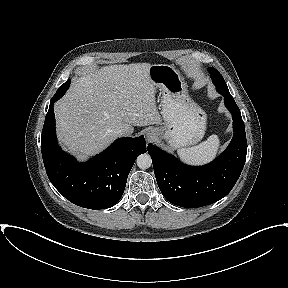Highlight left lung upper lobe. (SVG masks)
Returning <instances> with one entry per match:
<instances>
[{
    "mask_svg": "<svg viewBox=\"0 0 288 288\" xmlns=\"http://www.w3.org/2000/svg\"><path fill=\"white\" fill-rule=\"evenodd\" d=\"M208 70H209L211 78H212V80L216 86L217 91L222 95L230 94L228 87H227L222 75L214 67H210Z\"/></svg>",
    "mask_w": 288,
    "mask_h": 288,
    "instance_id": "1",
    "label": "left lung upper lobe"
}]
</instances>
